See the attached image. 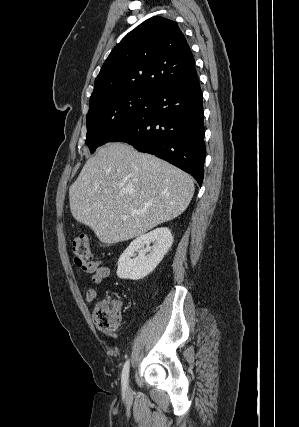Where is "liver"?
I'll list each match as a JSON object with an SVG mask.
<instances>
[{"label": "liver", "instance_id": "obj_1", "mask_svg": "<svg viewBox=\"0 0 299 427\" xmlns=\"http://www.w3.org/2000/svg\"><path fill=\"white\" fill-rule=\"evenodd\" d=\"M194 189L179 168L116 142L87 160L69 188V203L78 222L112 245L181 215Z\"/></svg>", "mask_w": 299, "mask_h": 427}]
</instances>
